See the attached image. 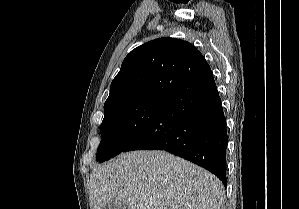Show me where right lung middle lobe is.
I'll list each match as a JSON object with an SVG mask.
<instances>
[{"label":"right lung middle lobe","mask_w":299,"mask_h":209,"mask_svg":"<svg viewBox=\"0 0 299 209\" xmlns=\"http://www.w3.org/2000/svg\"><path fill=\"white\" fill-rule=\"evenodd\" d=\"M162 104L142 101L104 111L97 161L101 163L121 153L146 128Z\"/></svg>","instance_id":"obj_1"}]
</instances>
